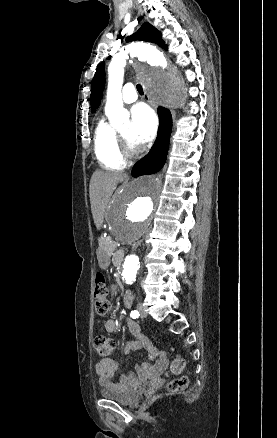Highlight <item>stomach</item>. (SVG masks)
<instances>
[{"instance_id":"obj_1","label":"stomach","mask_w":277,"mask_h":438,"mask_svg":"<svg viewBox=\"0 0 277 438\" xmlns=\"http://www.w3.org/2000/svg\"><path fill=\"white\" fill-rule=\"evenodd\" d=\"M97 258H98V263H99L101 268L108 267L109 261H110V258H109L108 254H106L105 252L100 250V251H98Z\"/></svg>"}]
</instances>
